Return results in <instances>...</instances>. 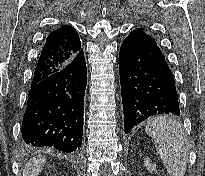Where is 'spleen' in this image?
<instances>
[{
  "mask_svg": "<svg viewBox=\"0 0 205 176\" xmlns=\"http://www.w3.org/2000/svg\"><path fill=\"white\" fill-rule=\"evenodd\" d=\"M145 131L154 139L169 176H184L189 146L181 124L172 118L157 116L147 122Z\"/></svg>",
  "mask_w": 205,
  "mask_h": 176,
  "instance_id": "3e777b00",
  "label": "spleen"
}]
</instances>
